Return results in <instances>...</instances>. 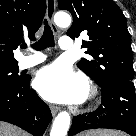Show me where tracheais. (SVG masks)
Instances as JSON below:
<instances>
[{
	"instance_id": "obj_1",
	"label": "trachea",
	"mask_w": 136,
	"mask_h": 136,
	"mask_svg": "<svg viewBox=\"0 0 136 136\" xmlns=\"http://www.w3.org/2000/svg\"><path fill=\"white\" fill-rule=\"evenodd\" d=\"M55 42H54V35L53 32L48 25L47 20L44 21V32L40 40L32 45V48L41 51L46 49L47 47H54ZM27 46L25 45L23 48H26Z\"/></svg>"
}]
</instances>
